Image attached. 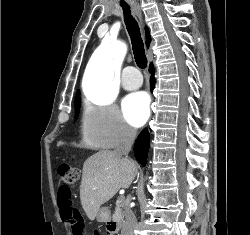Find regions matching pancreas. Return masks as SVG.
Here are the masks:
<instances>
[{
  "label": "pancreas",
  "mask_w": 250,
  "mask_h": 235,
  "mask_svg": "<svg viewBox=\"0 0 250 235\" xmlns=\"http://www.w3.org/2000/svg\"><path fill=\"white\" fill-rule=\"evenodd\" d=\"M124 201L123 199L119 200L117 203V207L115 209V212L112 216V218L117 221L118 223H121L124 219V211H123Z\"/></svg>",
  "instance_id": "pancreas-1"
}]
</instances>
